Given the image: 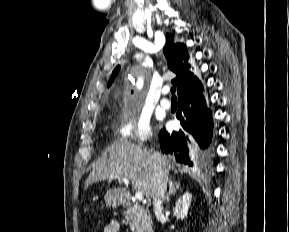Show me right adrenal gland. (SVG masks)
Instances as JSON below:
<instances>
[{"label": "right adrenal gland", "mask_w": 289, "mask_h": 232, "mask_svg": "<svg viewBox=\"0 0 289 232\" xmlns=\"http://www.w3.org/2000/svg\"><path fill=\"white\" fill-rule=\"evenodd\" d=\"M180 187V183H177V182H172V180L169 181V192L166 194V196L164 197V200L169 203V197L172 195V194H175L176 191L179 189Z\"/></svg>", "instance_id": "obj_1"}]
</instances>
